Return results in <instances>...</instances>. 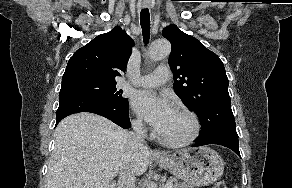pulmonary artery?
<instances>
[{
  "instance_id": "pulmonary-artery-1",
  "label": "pulmonary artery",
  "mask_w": 292,
  "mask_h": 188,
  "mask_svg": "<svg viewBox=\"0 0 292 188\" xmlns=\"http://www.w3.org/2000/svg\"><path fill=\"white\" fill-rule=\"evenodd\" d=\"M170 77V71L166 66H160L148 75L130 80V83L141 87H158L165 83Z\"/></svg>"
}]
</instances>
